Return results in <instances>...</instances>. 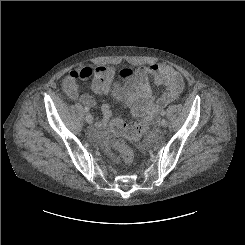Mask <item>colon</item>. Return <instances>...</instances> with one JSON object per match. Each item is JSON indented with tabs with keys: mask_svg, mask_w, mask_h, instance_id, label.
Listing matches in <instances>:
<instances>
[{
	"mask_svg": "<svg viewBox=\"0 0 245 245\" xmlns=\"http://www.w3.org/2000/svg\"><path fill=\"white\" fill-rule=\"evenodd\" d=\"M112 126L117 132L123 133L132 139L139 138L146 127L145 123L143 122L126 125L119 119L113 120ZM115 146L123 162L125 164H130L133 161V151L127 144L126 140L118 139Z\"/></svg>",
	"mask_w": 245,
	"mask_h": 245,
	"instance_id": "5ec220e1",
	"label": "colon"
}]
</instances>
